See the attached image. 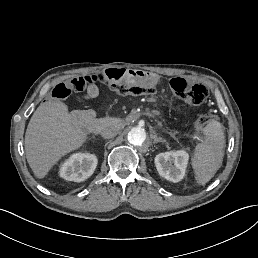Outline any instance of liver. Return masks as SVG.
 Returning a JSON list of instances; mask_svg holds the SVG:
<instances>
[{
    "label": "liver",
    "instance_id": "1",
    "mask_svg": "<svg viewBox=\"0 0 258 258\" xmlns=\"http://www.w3.org/2000/svg\"><path fill=\"white\" fill-rule=\"evenodd\" d=\"M86 111L73 110L60 100L46 101L33 113L25 134L27 162L39 179L67 153L82 146L87 139L81 128Z\"/></svg>",
    "mask_w": 258,
    "mask_h": 258
}]
</instances>
